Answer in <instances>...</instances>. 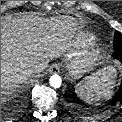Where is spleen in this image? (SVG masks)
<instances>
[{
	"label": "spleen",
	"instance_id": "spleen-1",
	"mask_svg": "<svg viewBox=\"0 0 122 122\" xmlns=\"http://www.w3.org/2000/svg\"><path fill=\"white\" fill-rule=\"evenodd\" d=\"M115 73V66H111L99 75L88 77L76 85V93L86 103L99 105L100 101L107 99L113 93L116 85Z\"/></svg>",
	"mask_w": 122,
	"mask_h": 122
}]
</instances>
